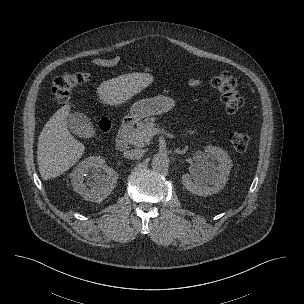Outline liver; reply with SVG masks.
<instances>
[{"mask_svg": "<svg viewBox=\"0 0 304 304\" xmlns=\"http://www.w3.org/2000/svg\"><path fill=\"white\" fill-rule=\"evenodd\" d=\"M154 77L148 73H130L103 82L97 89L101 103L120 105L148 87ZM70 106L57 110L38 138L37 162L43 180L55 178L76 164L85 146L68 130Z\"/></svg>", "mask_w": 304, "mask_h": 304, "instance_id": "obj_1", "label": "liver"}]
</instances>
